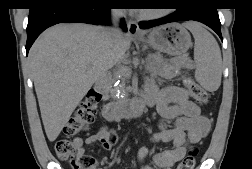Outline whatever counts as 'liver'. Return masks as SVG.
<instances>
[{
  "label": "liver",
  "mask_w": 252,
  "mask_h": 169,
  "mask_svg": "<svg viewBox=\"0 0 252 169\" xmlns=\"http://www.w3.org/2000/svg\"><path fill=\"white\" fill-rule=\"evenodd\" d=\"M130 45L127 35L116 44L104 27L83 23L57 24L40 35L28 59L49 141L57 139L88 90Z\"/></svg>",
  "instance_id": "liver-1"
}]
</instances>
